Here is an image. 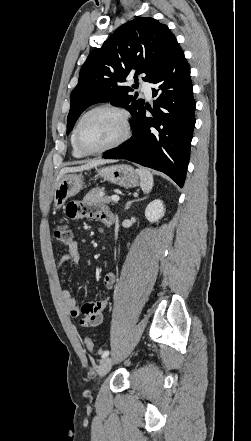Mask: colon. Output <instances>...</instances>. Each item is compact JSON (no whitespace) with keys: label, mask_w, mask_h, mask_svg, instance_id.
<instances>
[{"label":"colon","mask_w":251,"mask_h":441,"mask_svg":"<svg viewBox=\"0 0 251 441\" xmlns=\"http://www.w3.org/2000/svg\"><path fill=\"white\" fill-rule=\"evenodd\" d=\"M53 239L63 245H69L72 242V233L70 228L65 224H58L53 229ZM85 347L88 351L94 350V343L91 338L85 340Z\"/></svg>","instance_id":"colon-1"}]
</instances>
